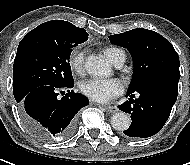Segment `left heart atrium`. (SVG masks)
<instances>
[{
  "label": "left heart atrium",
  "instance_id": "obj_1",
  "mask_svg": "<svg viewBox=\"0 0 190 165\" xmlns=\"http://www.w3.org/2000/svg\"><path fill=\"white\" fill-rule=\"evenodd\" d=\"M80 90L88 98L105 103L119 96L123 91V85L116 78L94 77L82 82Z\"/></svg>",
  "mask_w": 190,
  "mask_h": 165
}]
</instances>
